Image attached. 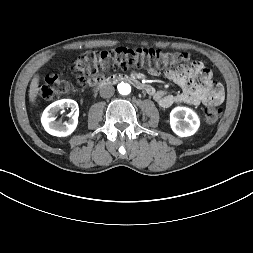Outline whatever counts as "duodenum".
Wrapping results in <instances>:
<instances>
[{
  "mask_svg": "<svg viewBox=\"0 0 253 253\" xmlns=\"http://www.w3.org/2000/svg\"><path fill=\"white\" fill-rule=\"evenodd\" d=\"M118 82H128L132 84L135 88L142 90L144 92H147L148 94H153V88L147 84L142 83L140 80H138L135 77L129 76V75H111L106 78L102 79V82L100 84H95L94 89L98 90L102 87L109 86L112 84H116Z\"/></svg>",
  "mask_w": 253,
  "mask_h": 253,
  "instance_id": "410a0bca",
  "label": "duodenum"
}]
</instances>
